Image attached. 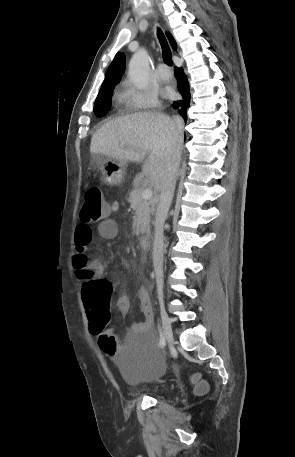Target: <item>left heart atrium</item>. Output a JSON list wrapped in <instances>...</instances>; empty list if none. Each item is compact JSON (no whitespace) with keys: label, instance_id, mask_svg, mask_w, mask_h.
Segmentation results:
<instances>
[{"label":"left heart atrium","instance_id":"left-heart-atrium-1","mask_svg":"<svg viewBox=\"0 0 295 457\" xmlns=\"http://www.w3.org/2000/svg\"><path fill=\"white\" fill-rule=\"evenodd\" d=\"M167 94H168V95H171V92H168Z\"/></svg>","mask_w":295,"mask_h":457}]
</instances>
